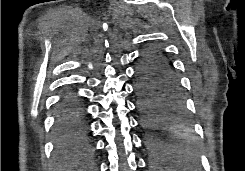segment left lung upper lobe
<instances>
[{
	"instance_id": "left-lung-upper-lobe-1",
	"label": "left lung upper lobe",
	"mask_w": 245,
	"mask_h": 171,
	"mask_svg": "<svg viewBox=\"0 0 245 171\" xmlns=\"http://www.w3.org/2000/svg\"><path fill=\"white\" fill-rule=\"evenodd\" d=\"M154 48H149L145 50L141 56L140 61H152V52Z\"/></svg>"
}]
</instances>
